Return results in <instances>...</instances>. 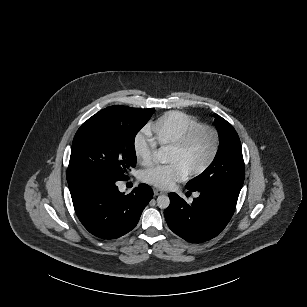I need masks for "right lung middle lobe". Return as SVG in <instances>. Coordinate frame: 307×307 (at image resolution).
<instances>
[{"label": "right lung middle lobe", "mask_w": 307, "mask_h": 307, "mask_svg": "<svg viewBox=\"0 0 307 307\" xmlns=\"http://www.w3.org/2000/svg\"><path fill=\"white\" fill-rule=\"evenodd\" d=\"M154 111L114 105L84 122L73 139L68 183L90 177L126 180L136 165L135 136Z\"/></svg>", "instance_id": "obj_1"}]
</instances>
